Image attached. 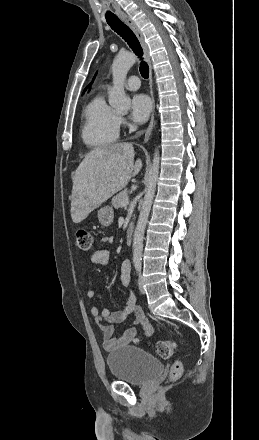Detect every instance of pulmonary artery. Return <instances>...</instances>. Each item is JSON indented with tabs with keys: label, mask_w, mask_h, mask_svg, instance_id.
I'll return each instance as SVG.
<instances>
[{
	"label": "pulmonary artery",
	"mask_w": 259,
	"mask_h": 440,
	"mask_svg": "<svg viewBox=\"0 0 259 440\" xmlns=\"http://www.w3.org/2000/svg\"><path fill=\"white\" fill-rule=\"evenodd\" d=\"M125 87L128 90H137L140 87L139 78L135 75L130 76L125 83Z\"/></svg>",
	"instance_id": "1"
}]
</instances>
